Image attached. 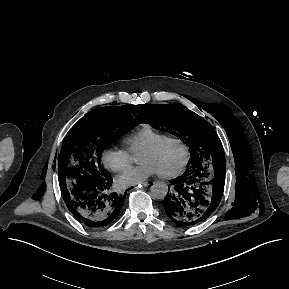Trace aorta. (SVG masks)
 <instances>
[{
    "instance_id": "1",
    "label": "aorta",
    "mask_w": 289,
    "mask_h": 289,
    "mask_svg": "<svg viewBox=\"0 0 289 289\" xmlns=\"http://www.w3.org/2000/svg\"><path fill=\"white\" fill-rule=\"evenodd\" d=\"M150 193L154 199H164L168 193V185L163 181H157L151 186Z\"/></svg>"
}]
</instances>
